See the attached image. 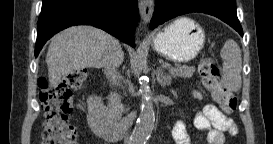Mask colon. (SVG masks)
<instances>
[{"label": "colon", "mask_w": 273, "mask_h": 144, "mask_svg": "<svg viewBox=\"0 0 273 144\" xmlns=\"http://www.w3.org/2000/svg\"><path fill=\"white\" fill-rule=\"evenodd\" d=\"M199 73L204 88L210 92L221 109L227 114L234 112L237 108V98L222 85L219 64L206 59L199 65ZM85 79L86 71L75 69L57 84H41L40 98L46 111L43 144L75 143L76 129L68 122V115L73 109L71 89L79 88Z\"/></svg>", "instance_id": "1"}]
</instances>
